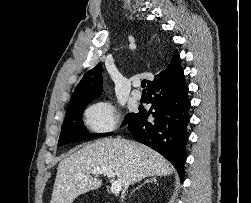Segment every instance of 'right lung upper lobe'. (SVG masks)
Masks as SVG:
<instances>
[{"label": "right lung upper lobe", "instance_id": "obj_1", "mask_svg": "<svg viewBox=\"0 0 251 203\" xmlns=\"http://www.w3.org/2000/svg\"><path fill=\"white\" fill-rule=\"evenodd\" d=\"M180 56L177 51H175L170 64L159 74L155 75L154 81L147 82V89L152 85L161 81L166 77L172 70L180 65ZM102 91V65L97 64L94 68L87 71L83 76L82 80L76 86L74 93L72 94L70 104L92 101L101 95Z\"/></svg>", "mask_w": 251, "mask_h": 203}]
</instances>
